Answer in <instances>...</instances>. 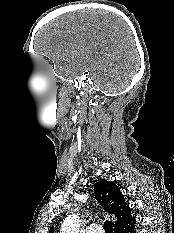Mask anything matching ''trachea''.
Listing matches in <instances>:
<instances>
[{
    "mask_svg": "<svg viewBox=\"0 0 174 233\" xmlns=\"http://www.w3.org/2000/svg\"><path fill=\"white\" fill-rule=\"evenodd\" d=\"M104 229L106 233H113V226L111 221H105L104 222Z\"/></svg>",
    "mask_w": 174,
    "mask_h": 233,
    "instance_id": "1",
    "label": "trachea"
}]
</instances>
